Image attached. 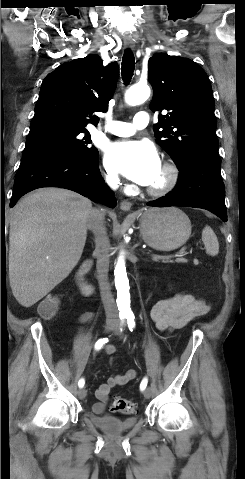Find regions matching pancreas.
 I'll return each instance as SVG.
<instances>
[{
  "label": "pancreas",
  "mask_w": 245,
  "mask_h": 479,
  "mask_svg": "<svg viewBox=\"0 0 245 479\" xmlns=\"http://www.w3.org/2000/svg\"><path fill=\"white\" fill-rule=\"evenodd\" d=\"M153 260H154V261H158L159 259H153ZM162 261H163L164 263H169V262H170V263H173V262H174V261H172V260H170V259H163ZM175 262H177V263H187L188 260L185 259V258H177V259L175 260Z\"/></svg>",
  "instance_id": "cf45deb5"
}]
</instances>
